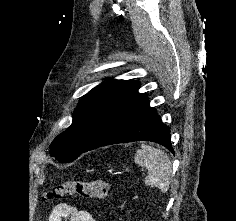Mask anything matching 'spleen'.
Segmentation results:
<instances>
[{"label":"spleen","instance_id":"3e777b00","mask_svg":"<svg viewBox=\"0 0 236 221\" xmlns=\"http://www.w3.org/2000/svg\"><path fill=\"white\" fill-rule=\"evenodd\" d=\"M135 162L148 169L145 184L167 191L172 175V164L168 155L161 149L142 144L141 149L136 150Z\"/></svg>","mask_w":236,"mask_h":221}]
</instances>
